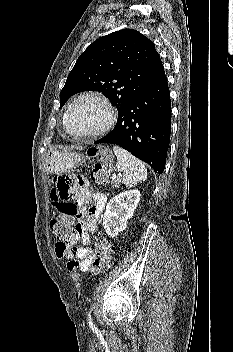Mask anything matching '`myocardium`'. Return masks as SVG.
Wrapping results in <instances>:
<instances>
[{"label": "myocardium", "mask_w": 233, "mask_h": 352, "mask_svg": "<svg viewBox=\"0 0 233 352\" xmlns=\"http://www.w3.org/2000/svg\"><path fill=\"white\" fill-rule=\"evenodd\" d=\"M87 99L95 100V101L99 102L100 104H102L107 111V118H106V121L96 130L88 132V133H78V132H75L71 127L70 114H71L73 107L77 103H79L82 100H87ZM116 118H117L116 111L109 100H107L105 97H103L99 94H96V93H86V94H82V95L78 96L68 106V108L66 110V114H65V126H66L68 133L70 135H72L73 137L80 138V139H91V138L98 137V136L106 133L108 130H110L112 128V126L115 124Z\"/></svg>", "instance_id": "obj_1"}]
</instances>
